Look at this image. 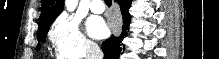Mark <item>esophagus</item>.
Here are the masks:
<instances>
[{"instance_id":"34e87169","label":"esophagus","mask_w":219,"mask_h":59,"mask_svg":"<svg viewBox=\"0 0 219 59\" xmlns=\"http://www.w3.org/2000/svg\"><path fill=\"white\" fill-rule=\"evenodd\" d=\"M119 32H120V30H118V29H116V30H115V29H113V33H114V34L118 35V34H119Z\"/></svg>"}]
</instances>
